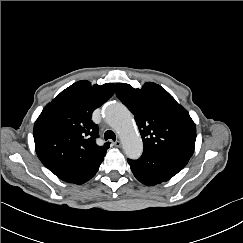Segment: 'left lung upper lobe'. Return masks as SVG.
<instances>
[{"instance_id":"5c2ea615","label":"left lung upper lobe","mask_w":243,"mask_h":243,"mask_svg":"<svg viewBox=\"0 0 243 243\" xmlns=\"http://www.w3.org/2000/svg\"><path fill=\"white\" fill-rule=\"evenodd\" d=\"M116 95L135 116L143 152L191 158L196 141L195 123L166 90L152 82L145 83L142 89L117 83Z\"/></svg>"}]
</instances>
